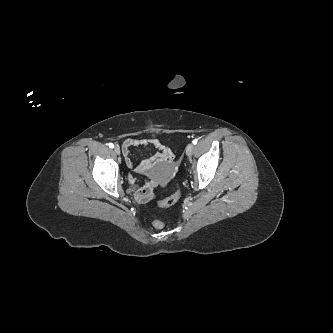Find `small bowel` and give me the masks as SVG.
Instances as JSON below:
<instances>
[{
	"label": "small bowel",
	"mask_w": 333,
	"mask_h": 333,
	"mask_svg": "<svg viewBox=\"0 0 333 333\" xmlns=\"http://www.w3.org/2000/svg\"><path fill=\"white\" fill-rule=\"evenodd\" d=\"M151 145L157 149V153L153 156L142 160L138 164H134L131 160V149L133 147L148 146ZM122 151L125 156V163L136 173L139 174H149L154 169L159 166H167L169 168L173 167L174 164V154L172 150L163 145L158 139H138V138H128L124 141L122 145ZM130 183L134 184L136 180L130 177ZM157 187L156 182L147 183L144 187L135 190L134 196L138 202H147L153 198L154 189Z\"/></svg>",
	"instance_id": "obj_1"
}]
</instances>
